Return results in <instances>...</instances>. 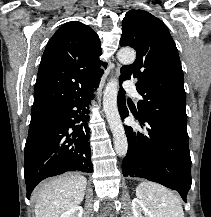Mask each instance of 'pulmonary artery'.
Masks as SVG:
<instances>
[{
    "mask_svg": "<svg viewBox=\"0 0 211 217\" xmlns=\"http://www.w3.org/2000/svg\"><path fill=\"white\" fill-rule=\"evenodd\" d=\"M123 86H124V89H125L128 93H130V94H132V95L138 97V93H137V90H136V86L134 85L133 82H131V81H126Z\"/></svg>",
    "mask_w": 211,
    "mask_h": 217,
    "instance_id": "e3ab8cb5",
    "label": "pulmonary artery"
}]
</instances>
